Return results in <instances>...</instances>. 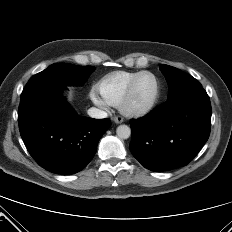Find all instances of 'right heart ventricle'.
Wrapping results in <instances>:
<instances>
[{"label": "right heart ventricle", "instance_id": "right-heart-ventricle-1", "mask_svg": "<svg viewBox=\"0 0 232 232\" xmlns=\"http://www.w3.org/2000/svg\"><path fill=\"white\" fill-rule=\"evenodd\" d=\"M139 72L114 71L103 76L97 89L103 100L112 106H118L131 81Z\"/></svg>", "mask_w": 232, "mask_h": 232}]
</instances>
